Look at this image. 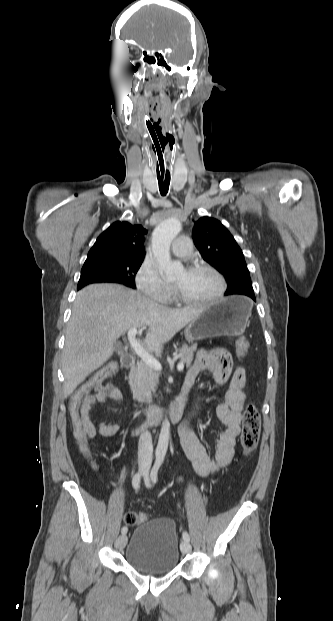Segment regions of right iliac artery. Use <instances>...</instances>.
I'll return each instance as SVG.
<instances>
[{"mask_svg":"<svg viewBox=\"0 0 333 621\" xmlns=\"http://www.w3.org/2000/svg\"><path fill=\"white\" fill-rule=\"evenodd\" d=\"M140 480H141V473L138 472L133 476V479H132V485L135 490L139 488ZM127 531H128V528L126 526L122 527L121 529L122 534H126Z\"/></svg>","mask_w":333,"mask_h":621,"instance_id":"obj_1","label":"right iliac artery"}]
</instances>
